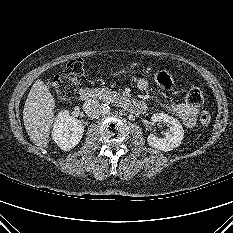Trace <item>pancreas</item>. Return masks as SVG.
Instances as JSON below:
<instances>
[{
	"instance_id": "obj_1",
	"label": "pancreas",
	"mask_w": 233,
	"mask_h": 233,
	"mask_svg": "<svg viewBox=\"0 0 233 233\" xmlns=\"http://www.w3.org/2000/svg\"><path fill=\"white\" fill-rule=\"evenodd\" d=\"M95 91L98 93V97L106 102L114 101L118 97V93L111 91L109 88H97Z\"/></svg>"
}]
</instances>
